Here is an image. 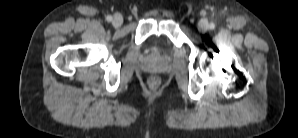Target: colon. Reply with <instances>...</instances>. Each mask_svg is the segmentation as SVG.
Here are the masks:
<instances>
[{
  "instance_id": "5ec220e1",
  "label": "colon",
  "mask_w": 298,
  "mask_h": 138,
  "mask_svg": "<svg viewBox=\"0 0 298 138\" xmlns=\"http://www.w3.org/2000/svg\"><path fill=\"white\" fill-rule=\"evenodd\" d=\"M158 83H159L158 78L153 77V78L150 79V84H151L152 86H156Z\"/></svg>"
}]
</instances>
